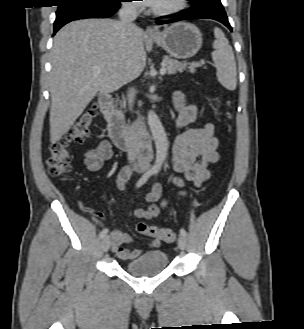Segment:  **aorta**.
I'll list each match as a JSON object with an SVG mask.
<instances>
[{
  "label": "aorta",
  "instance_id": "obj_1",
  "mask_svg": "<svg viewBox=\"0 0 304 329\" xmlns=\"http://www.w3.org/2000/svg\"><path fill=\"white\" fill-rule=\"evenodd\" d=\"M148 125L156 146V160L152 170L158 172L167 156L169 144L164 128L158 116L153 111L148 113Z\"/></svg>",
  "mask_w": 304,
  "mask_h": 329
}]
</instances>
